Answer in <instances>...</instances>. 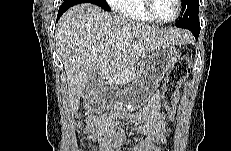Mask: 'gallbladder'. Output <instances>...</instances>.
Returning a JSON list of instances; mask_svg holds the SVG:
<instances>
[{"label": "gallbladder", "mask_w": 231, "mask_h": 151, "mask_svg": "<svg viewBox=\"0 0 231 151\" xmlns=\"http://www.w3.org/2000/svg\"><path fill=\"white\" fill-rule=\"evenodd\" d=\"M100 82V75L98 71H95L82 92V98L85 102L92 101L95 98L96 90L99 88Z\"/></svg>", "instance_id": "bac80fb5"}]
</instances>
